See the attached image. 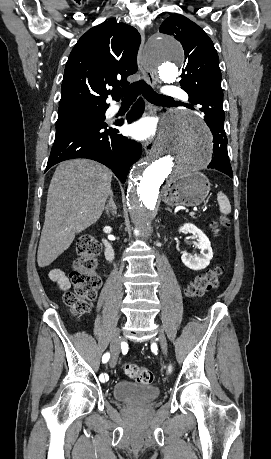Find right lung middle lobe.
I'll return each instance as SVG.
<instances>
[{
  "label": "right lung middle lobe",
  "instance_id": "1",
  "mask_svg": "<svg viewBox=\"0 0 271 459\" xmlns=\"http://www.w3.org/2000/svg\"><path fill=\"white\" fill-rule=\"evenodd\" d=\"M105 105H87L67 111L58 112L56 129L82 121L105 120Z\"/></svg>",
  "mask_w": 271,
  "mask_h": 459
}]
</instances>
